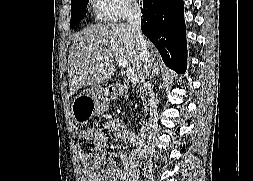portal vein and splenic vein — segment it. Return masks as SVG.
<instances>
[{
  "instance_id": "1",
  "label": "portal vein and splenic vein",
  "mask_w": 253,
  "mask_h": 181,
  "mask_svg": "<svg viewBox=\"0 0 253 181\" xmlns=\"http://www.w3.org/2000/svg\"><path fill=\"white\" fill-rule=\"evenodd\" d=\"M100 58H102V56H100ZM114 58L120 67L125 68L127 79L133 84H138L139 79L137 77V74L135 73L134 69L131 68L128 61L124 57L117 54L114 55Z\"/></svg>"
}]
</instances>
